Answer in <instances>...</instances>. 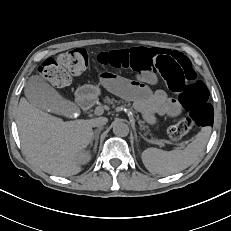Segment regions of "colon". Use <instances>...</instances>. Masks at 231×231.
Masks as SVG:
<instances>
[{"instance_id": "obj_1", "label": "colon", "mask_w": 231, "mask_h": 231, "mask_svg": "<svg viewBox=\"0 0 231 231\" xmlns=\"http://www.w3.org/2000/svg\"><path fill=\"white\" fill-rule=\"evenodd\" d=\"M89 55L84 49H74L57 59L48 58L39 67L41 76L56 87L66 86L73 76L87 68ZM93 60L103 65L131 70L146 80L162 78L176 92L187 116L169 127L168 136L177 141L195 127L212 124L213 106L206 85L196 79L190 60L182 53L159 48L138 47L97 54Z\"/></svg>"}]
</instances>
